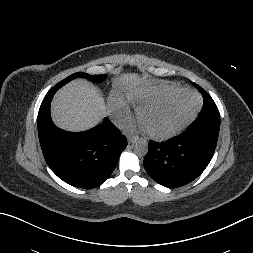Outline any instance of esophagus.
<instances>
[{"label": "esophagus", "mask_w": 253, "mask_h": 253, "mask_svg": "<svg viewBox=\"0 0 253 253\" xmlns=\"http://www.w3.org/2000/svg\"><path fill=\"white\" fill-rule=\"evenodd\" d=\"M136 139H138V137L137 136H133V135H129L127 137L128 143H133Z\"/></svg>", "instance_id": "esophagus-1"}]
</instances>
